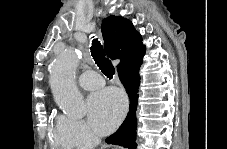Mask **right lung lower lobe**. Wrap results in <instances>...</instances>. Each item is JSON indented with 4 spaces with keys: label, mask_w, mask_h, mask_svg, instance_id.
I'll use <instances>...</instances> for the list:
<instances>
[{
    "label": "right lung lower lobe",
    "mask_w": 227,
    "mask_h": 149,
    "mask_svg": "<svg viewBox=\"0 0 227 149\" xmlns=\"http://www.w3.org/2000/svg\"><path fill=\"white\" fill-rule=\"evenodd\" d=\"M141 63L142 61L126 64L118 70V76L130 99V110L120 128L105 140L108 144H116L127 148L136 147V109L140 83L138 71Z\"/></svg>",
    "instance_id": "obj_1"
}]
</instances>
